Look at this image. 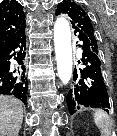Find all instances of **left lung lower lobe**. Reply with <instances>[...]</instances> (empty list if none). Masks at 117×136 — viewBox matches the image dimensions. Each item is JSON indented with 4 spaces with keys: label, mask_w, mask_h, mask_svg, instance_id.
I'll use <instances>...</instances> for the list:
<instances>
[{
    "label": "left lung lower lobe",
    "mask_w": 117,
    "mask_h": 136,
    "mask_svg": "<svg viewBox=\"0 0 117 136\" xmlns=\"http://www.w3.org/2000/svg\"><path fill=\"white\" fill-rule=\"evenodd\" d=\"M75 34L81 41L79 46L83 50L81 62L84 67L74 69L73 81L67 94L69 113L73 115L83 107L103 108L109 112L110 104L99 55L92 50L83 34Z\"/></svg>",
    "instance_id": "left-lung-lower-lobe-1"
}]
</instances>
